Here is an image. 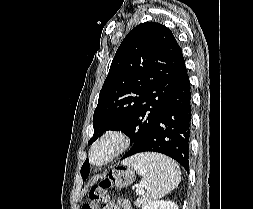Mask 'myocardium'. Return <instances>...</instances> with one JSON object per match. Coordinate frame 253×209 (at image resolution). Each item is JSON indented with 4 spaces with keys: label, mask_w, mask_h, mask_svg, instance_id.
Here are the masks:
<instances>
[{
    "label": "myocardium",
    "mask_w": 253,
    "mask_h": 209,
    "mask_svg": "<svg viewBox=\"0 0 253 209\" xmlns=\"http://www.w3.org/2000/svg\"><path fill=\"white\" fill-rule=\"evenodd\" d=\"M108 142H112L113 149L110 153L100 162L94 161V155L96 150L105 145ZM129 146V136L121 128H110L102 132L98 138L93 142L89 149V162L94 167H102L113 161L116 157L122 154Z\"/></svg>",
    "instance_id": "myocardium-1"
}]
</instances>
